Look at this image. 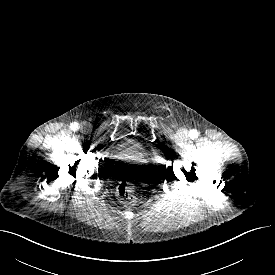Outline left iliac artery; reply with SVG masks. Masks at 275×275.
Returning a JSON list of instances; mask_svg holds the SVG:
<instances>
[{
  "label": "left iliac artery",
  "mask_w": 275,
  "mask_h": 275,
  "mask_svg": "<svg viewBox=\"0 0 275 275\" xmlns=\"http://www.w3.org/2000/svg\"><path fill=\"white\" fill-rule=\"evenodd\" d=\"M198 135H199V133L197 132V130H191L190 133H189V136H190L192 139L197 138Z\"/></svg>",
  "instance_id": "obj_1"
}]
</instances>
